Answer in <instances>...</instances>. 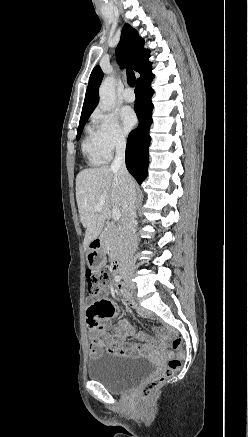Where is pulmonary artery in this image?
<instances>
[{
  "label": "pulmonary artery",
  "instance_id": "obj_1",
  "mask_svg": "<svg viewBox=\"0 0 248 437\" xmlns=\"http://www.w3.org/2000/svg\"><path fill=\"white\" fill-rule=\"evenodd\" d=\"M123 98L127 102H132L135 99V95L130 88H126L123 92Z\"/></svg>",
  "mask_w": 248,
  "mask_h": 437
}]
</instances>
